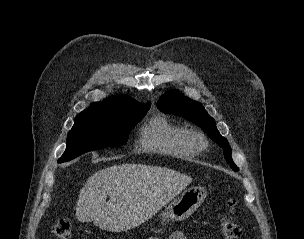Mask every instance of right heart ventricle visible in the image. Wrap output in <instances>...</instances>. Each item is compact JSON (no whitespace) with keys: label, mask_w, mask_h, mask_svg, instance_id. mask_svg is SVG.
Listing matches in <instances>:
<instances>
[{"label":"right heart ventricle","mask_w":304,"mask_h":239,"mask_svg":"<svg viewBox=\"0 0 304 239\" xmlns=\"http://www.w3.org/2000/svg\"><path fill=\"white\" fill-rule=\"evenodd\" d=\"M187 132L166 117L156 115L141 126L139 144L149 152L178 158L194 157L197 152L188 145Z\"/></svg>","instance_id":"right-heart-ventricle-1"}]
</instances>
